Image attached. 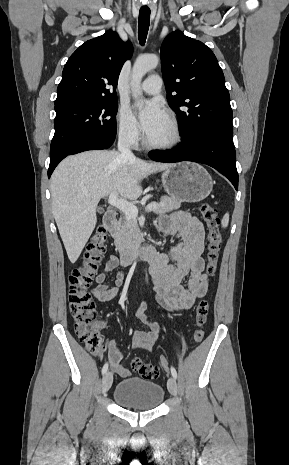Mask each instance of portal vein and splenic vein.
Masks as SVG:
<instances>
[{"mask_svg":"<svg viewBox=\"0 0 289 465\" xmlns=\"http://www.w3.org/2000/svg\"><path fill=\"white\" fill-rule=\"evenodd\" d=\"M108 204L119 209L120 211H122L126 216L130 217V218H136L137 215H138V209L137 207L124 200V199H119L118 198V193L116 191H113L112 193H110L109 195V198H108ZM157 208V204L156 203H151V204H148L147 207H146V211L147 212H150V211H153Z\"/></svg>","mask_w":289,"mask_h":465,"instance_id":"obj_1","label":"portal vein and splenic vein"}]
</instances>
